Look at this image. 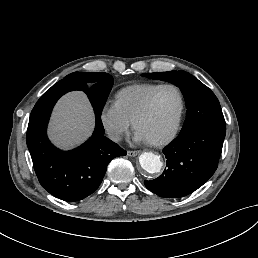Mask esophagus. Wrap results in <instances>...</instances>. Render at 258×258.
Wrapping results in <instances>:
<instances>
[{
	"label": "esophagus",
	"mask_w": 258,
	"mask_h": 258,
	"mask_svg": "<svg viewBox=\"0 0 258 258\" xmlns=\"http://www.w3.org/2000/svg\"><path fill=\"white\" fill-rule=\"evenodd\" d=\"M141 153V150H136V151H128L127 155L128 156H137L138 154Z\"/></svg>",
	"instance_id": "obj_1"
}]
</instances>
